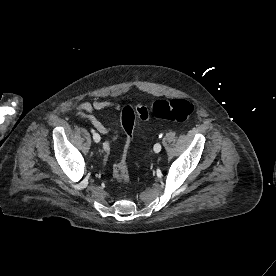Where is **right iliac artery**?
I'll use <instances>...</instances> for the list:
<instances>
[{"instance_id": "right-iliac-artery-1", "label": "right iliac artery", "mask_w": 276, "mask_h": 276, "mask_svg": "<svg viewBox=\"0 0 276 276\" xmlns=\"http://www.w3.org/2000/svg\"><path fill=\"white\" fill-rule=\"evenodd\" d=\"M91 132L92 133H95V130L94 129H91ZM100 141V136L98 138H96V142H99Z\"/></svg>"}]
</instances>
